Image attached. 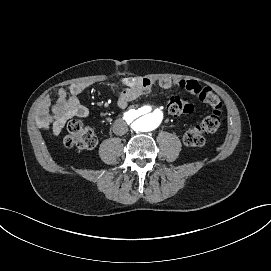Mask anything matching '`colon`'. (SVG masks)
I'll return each instance as SVG.
<instances>
[{
    "instance_id": "colon-1",
    "label": "colon",
    "mask_w": 271,
    "mask_h": 271,
    "mask_svg": "<svg viewBox=\"0 0 271 271\" xmlns=\"http://www.w3.org/2000/svg\"><path fill=\"white\" fill-rule=\"evenodd\" d=\"M198 98L201 102L211 108V112L206 115L202 122L188 129L184 134V142L188 146L200 147L205 144L206 135L214 133L220 126L222 114V102L220 98L208 87H202ZM165 108L170 114L191 113L193 106L186 99L181 97H170ZM64 144L69 148L80 150H92L97 145V138L93 130L77 120L68 124V134L64 139Z\"/></svg>"
}]
</instances>
